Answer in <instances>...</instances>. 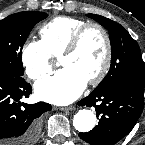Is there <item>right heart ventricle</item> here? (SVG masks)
<instances>
[{
    "instance_id": "obj_1",
    "label": "right heart ventricle",
    "mask_w": 145,
    "mask_h": 145,
    "mask_svg": "<svg viewBox=\"0 0 145 145\" xmlns=\"http://www.w3.org/2000/svg\"><path fill=\"white\" fill-rule=\"evenodd\" d=\"M87 23L77 17H54L40 28L41 42L51 56L58 57L75 31Z\"/></svg>"
}]
</instances>
